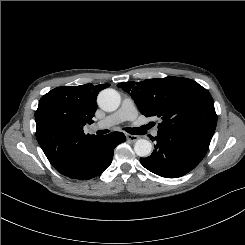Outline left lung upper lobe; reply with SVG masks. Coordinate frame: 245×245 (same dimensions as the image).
Here are the masks:
<instances>
[{
  "label": "left lung upper lobe",
  "mask_w": 245,
  "mask_h": 245,
  "mask_svg": "<svg viewBox=\"0 0 245 245\" xmlns=\"http://www.w3.org/2000/svg\"><path fill=\"white\" fill-rule=\"evenodd\" d=\"M118 87L131 95L146 117L157 116L162 120L159 130H187L212 138L217 124L214 101L197 82L169 76L122 82Z\"/></svg>",
  "instance_id": "obj_1"
}]
</instances>
